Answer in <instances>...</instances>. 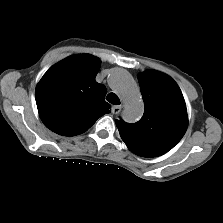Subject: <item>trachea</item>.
<instances>
[{
  "instance_id": "trachea-1",
  "label": "trachea",
  "mask_w": 223,
  "mask_h": 223,
  "mask_svg": "<svg viewBox=\"0 0 223 223\" xmlns=\"http://www.w3.org/2000/svg\"><path fill=\"white\" fill-rule=\"evenodd\" d=\"M106 100L114 105H120V100L115 93H109L106 97Z\"/></svg>"
}]
</instances>
